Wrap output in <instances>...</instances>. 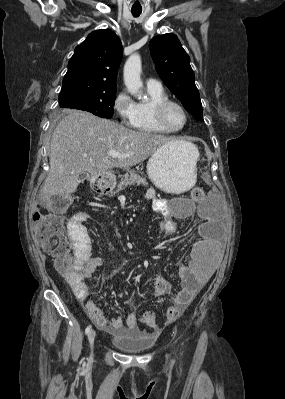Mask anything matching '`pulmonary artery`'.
Wrapping results in <instances>:
<instances>
[{
    "instance_id": "obj_1",
    "label": "pulmonary artery",
    "mask_w": 285,
    "mask_h": 399,
    "mask_svg": "<svg viewBox=\"0 0 285 399\" xmlns=\"http://www.w3.org/2000/svg\"><path fill=\"white\" fill-rule=\"evenodd\" d=\"M146 85H147L148 88L162 87L161 82L158 79H155V78H152V77H150V78H148L146 80Z\"/></svg>"
}]
</instances>
